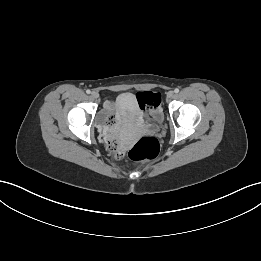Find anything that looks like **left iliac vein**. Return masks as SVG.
Wrapping results in <instances>:
<instances>
[{
  "label": "left iliac vein",
  "mask_w": 261,
  "mask_h": 261,
  "mask_svg": "<svg viewBox=\"0 0 261 261\" xmlns=\"http://www.w3.org/2000/svg\"><path fill=\"white\" fill-rule=\"evenodd\" d=\"M174 92L173 91H169L168 93H167V98H169V99H171V98H173L174 97Z\"/></svg>",
  "instance_id": "obj_1"
}]
</instances>
